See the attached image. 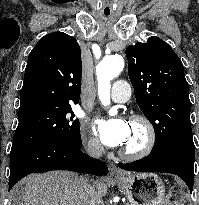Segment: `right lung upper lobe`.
Segmentation results:
<instances>
[{
  "mask_svg": "<svg viewBox=\"0 0 199 205\" xmlns=\"http://www.w3.org/2000/svg\"><path fill=\"white\" fill-rule=\"evenodd\" d=\"M82 62L77 40L63 32L42 37L29 54L19 111L43 105L76 104Z\"/></svg>",
  "mask_w": 199,
  "mask_h": 205,
  "instance_id": "1",
  "label": "right lung upper lobe"
}]
</instances>
